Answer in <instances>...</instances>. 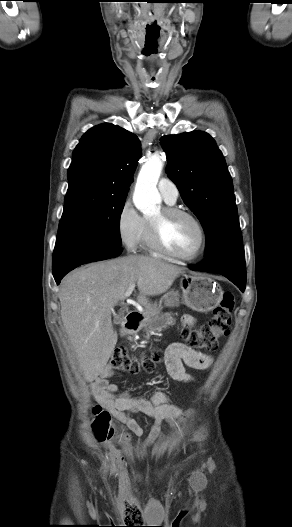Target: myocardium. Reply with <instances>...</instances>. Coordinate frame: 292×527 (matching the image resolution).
Masks as SVG:
<instances>
[{
    "label": "myocardium",
    "instance_id": "1",
    "mask_svg": "<svg viewBox=\"0 0 292 527\" xmlns=\"http://www.w3.org/2000/svg\"><path fill=\"white\" fill-rule=\"evenodd\" d=\"M175 216H186L190 218L197 226L200 233V242L198 248L190 255H180L167 247L163 239V224L166 220ZM149 237L152 247L155 251L169 258L190 262L199 258L206 250L207 246V232L202 221L191 211L174 207L164 206L161 209V216L159 219H148Z\"/></svg>",
    "mask_w": 292,
    "mask_h": 527
}]
</instances>
